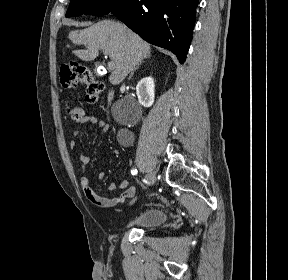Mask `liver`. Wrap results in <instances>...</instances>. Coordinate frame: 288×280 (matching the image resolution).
I'll use <instances>...</instances> for the list:
<instances>
[{
	"mask_svg": "<svg viewBox=\"0 0 288 280\" xmlns=\"http://www.w3.org/2000/svg\"><path fill=\"white\" fill-rule=\"evenodd\" d=\"M68 38L76 45L86 46L84 50L74 51L81 60H94L100 50L108 53L114 63L109 77L113 85L120 84L151 53L148 43L126 26L112 20H103L88 28L71 31Z\"/></svg>",
	"mask_w": 288,
	"mask_h": 280,
	"instance_id": "1",
	"label": "liver"
}]
</instances>
